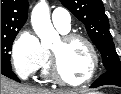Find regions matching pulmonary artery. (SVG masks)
<instances>
[{
	"mask_svg": "<svg viewBox=\"0 0 121 94\" xmlns=\"http://www.w3.org/2000/svg\"><path fill=\"white\" fill-rule=\"evenodd\" d=\"M52 22L56 28L61 31L70 29V13L64 8H56L52 13Z\"/></svg>",
	"mask_w": 121,
	"mask_h": 94,
	"instance_id": "1",
	"label": "pulmonary artery"
}]
</instances>
